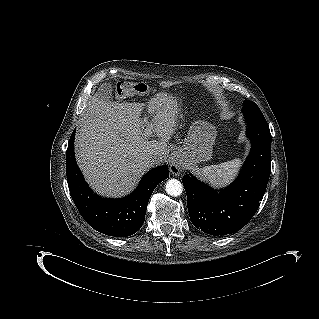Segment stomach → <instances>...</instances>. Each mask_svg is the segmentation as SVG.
Here are the masks:
<instances>
[{
    "label": "stomach",
    "instance_id": "1",
    "mask_svg": "<svg viewBox=\"0 0 319 319\" xmlns=\"http://www.w3.org/2000/svg\"><path fill=\"white\" fill-rule=\"evenodd\" d=\"M216 136L217 131L210 123L194 121L179 152L178 163L184 167H193L210 160Z\"/></svg>",
    "mask_w": 319,
    "mask_h": 319
}]
</instances>
